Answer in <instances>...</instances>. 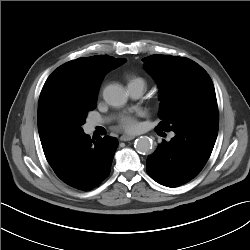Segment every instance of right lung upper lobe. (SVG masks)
Segmentation results:
<instances>
[{
    "label": "right lung upper lobe",
    "mask_w": 250,
    "mask_h": 250,
    "mask_svg": "<svg viewBox=\"0 0 250 250\" xmlns=\"http://www.w3.org/2000/svg\"><path fill=\"white\" fill-rule=\"evenodd\" d=\"M123 58L97 55L69 61L46 80L39 98L38 131L41 144L57 139L60 128L80 107L96 104L101 81Z\"/></svg>",
    "instance_id": "obj_1"
}]
</instances>
